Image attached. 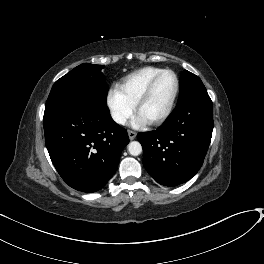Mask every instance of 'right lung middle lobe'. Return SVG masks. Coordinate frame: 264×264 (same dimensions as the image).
<instances>
[{"instance_id":"1","label":"right lung middle lobe","mask_w":264,"mask_h":264,"mask_svg":"<svg viewBox=\"0 0 264 264\" xmlns=\"http://www.w3.org/2000/svg\"><path fill=\"white\" fill-rule=\"evenodd\" d=\"M102 65L84 63L58 79L49 94L45 112L70 105L82 98L106 99L108 88Z\"/></svg>"}]
</instances>
